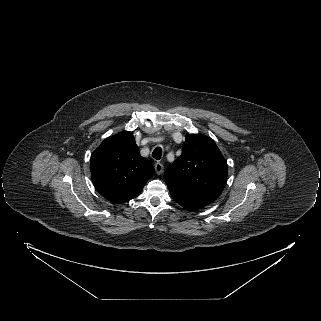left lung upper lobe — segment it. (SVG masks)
<instances>
[{"instance_id": "left-lung-upper-lobe-1", "label": "left lung upper lobe", "mask_w": 321, "mask_h": 321, "mask_svg": "<svg viewBox=\"0 0 321 321\" xmlns=\"http://www.w3.org/2000/svg\"><path fill=\"white\" fill-rule=\"evenodd\" d=\"M164 180L177 203L196 211L221 194L227 180V162L211 138L189 134L182 155L167 168Z\"/></svg>"}]
</instances>
